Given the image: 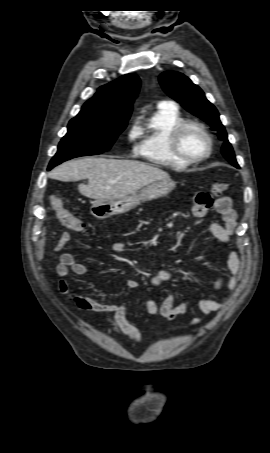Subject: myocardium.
Listing matches in <instances>:
<instances>
[{
    "label": "myocardium",
    "mask_w": 270,
    "mask_h": 453,
    "mask_svg": "<svg viewBox=\"0 0 270 453\" xmlns=\"http://www.w3.org/2000/svg\"><path fill=\"white\" fill-rule=\"evenodd\" d=\"M196 128L206 137L207 139V151L205 154L199 157H191L185 154L181 149V137L183 132L188 128ZM170 148L172 153L181 161L188 164L200 163L209 158L213 151V139L209 130L200 122L194 120H184L180 122L171 132L169 138Z\"/></svg>",
    "instance_id": "obj_1"
}]
</instances>
